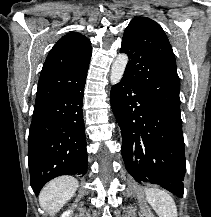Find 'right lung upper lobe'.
<instances>
[{
  "mask_svg": "<svg viewBox=\"0 0 211 217\" xmlns=\"http://www.w3.org/2000/svg\"><path fill=\"white\" fill-rule=\"evenodd\" d=\"M92 54L89 39L68 33L50 50L43 65L35 105L46 102L76 85L87 75Z\"/></svg>",
  "mask_w": 211,
  "mask_h": 217,
  "instance_id": "cb5924a9",
  "label": "right lung upper lobe"
}]
</instances>
